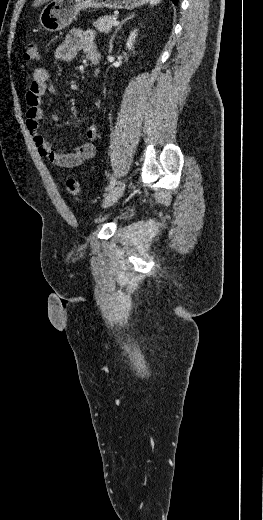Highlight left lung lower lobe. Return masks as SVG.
Listing matches in <instances>:
<instances>
[{
	"label": "left lung lower lobe",
	"instance_id": "obj_1",
	"mask_svg": "<svg viewBox=\"0 0 263 520\" xmlns=\"http://www.w3.org/2000/svg\"><path fill=\"white\" fill-rule=\"evenodd\" d=\"M175 5H177L179 0H172Z\"/></svg>",
	"mask_w": 263,
	"mask_h": 520
}]
</instances>
